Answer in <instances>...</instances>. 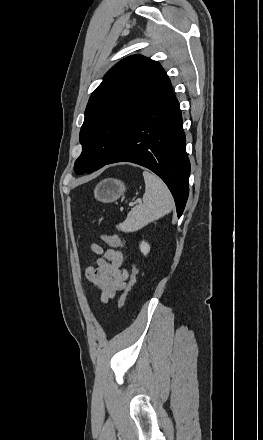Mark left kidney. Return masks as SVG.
<instances>
[{
  "label": "left kidney",
  "instance_id": "5707ae66",
  "mask_svg": "<svg viewBox=\"0 0 263 440\" xmlns=\"http://www.w3.org/2000/svg\"><path fill=\"white\" fill-rule=\"evenodd\" d=\"M140 250H141V252H142L144 255H147V254L149 253V251H150V246H149V244H148L147 242H145V241H142V242L140 243Z\"/></svg>",
  "mask_w": 263,
  "mask_h": 440
}]
</instances>
